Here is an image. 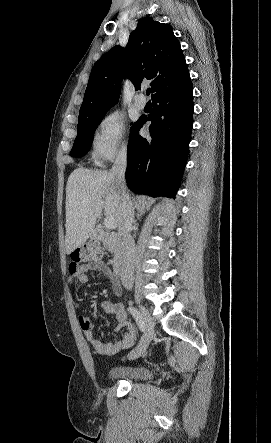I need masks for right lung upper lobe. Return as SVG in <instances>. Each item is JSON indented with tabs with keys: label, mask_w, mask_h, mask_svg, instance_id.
Listing matches in <instances>:
<instances>
[{
	"label": "right lung upper lobe",
	"mask_w": 271,
	"mask_h": 443,
	"mask_svg": "<svg viewBox=\"0 0 271 443\" xmlns=\"http://www.w3.org/2000/svg\"><path fill=\"white\" fill-rule=\"evenodd\" d=\"M127 76L136 89L152 80V98L190 78L180 43L170 25L150 17L139 20L125 49L114 46L93 66L79 119L103 116L119 98Z\"/></svg>",
	"instance_id": "cb5924a9"
}]
</instances>
